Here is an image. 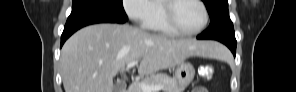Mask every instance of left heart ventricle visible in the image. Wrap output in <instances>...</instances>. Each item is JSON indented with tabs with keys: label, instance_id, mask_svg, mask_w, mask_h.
<instances>
[{
	"label": "left heart ventricle",
	"instance_id": "1",
	"mask_svg": "<svg viewBox=\"0 0 296 92\" xmlns=\"http://www.w3.org/2000/svg\"><path fill=\"white\" fill-rule=\"evenodd\" d=\"M174 18L183 30H195L204 20L203 10L199 4L192 0L180 1L174 7Z\"/></svg>",
	"mask_w": 296,
	"mask_h": 92
}]
</instances>
